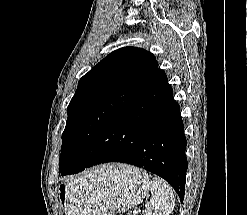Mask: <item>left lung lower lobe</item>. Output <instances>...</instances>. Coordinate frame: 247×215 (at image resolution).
I'll use <instances>...</instances> for the list:
<instances>
[{
    "mask_svg": "<svg viewBox=\"0 0 247 215\" xmlns=\"http://www.w3.org/2000/svg\"><path fill=\"white\" fill-rule=\"evenodd\" d=\"M185 149L180 107L165 72L157 69L110 130L84 145L77 161L60 174H75L107 162L127 163L164 178L182 202L188 167Z\"/></svg>",
    "mask_w": 247,
    "mask_h": 215,
    "instance_id": "0a47b994",
    "label": "left lung lower lobe"
}]
</instances>
